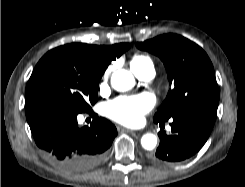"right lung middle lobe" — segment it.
Listing matches in <instances>:
<instances>
[{"label": "right lung middle lobe", "instance_id": "right-lung-middle-lobe-1", "mask_svg": "<svg viewBox=\"0 0 245 187\" xmlns=\"http://www.w3.org/2000/svg\"><path fill=\"white\" fill-rule=\"evenodd\" d=\"M107 66L84 44L72 43L47 52L37 63L25 90V112L30 116L51 107L92 112L98 84Z\"/></svg>", "mask_w": 245, "mask_h": 187}]
</instances>
